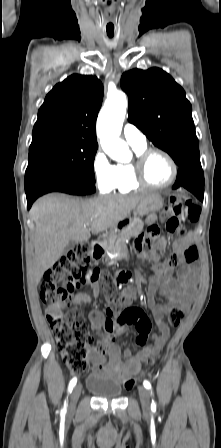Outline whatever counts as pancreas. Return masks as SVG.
Wrapping results in <instances>:
<instances>
[{
	"label": "pancreas",
	"mask_w": 221,
	"mask_h": 448,
	"mask_svg": "<svg viewBox=\"0 0 221 448\" xmlns=\"http://www.w3.org/2000/svg\"><path fill=\"white\" fill-rule=\"evenodd\" d=\"M143 225L144 224L141 220H138L136 223L132 222L120 233L111 237L108 246L109 258L106 259L108 262L107 265L110 266L115 263V260H117L126 249V241H128L131 237L138 235L141 232ZM110 256L113 257L111 258Z\"/></svg>",
	"instance_id": "obj_1"
}]
</instances>
